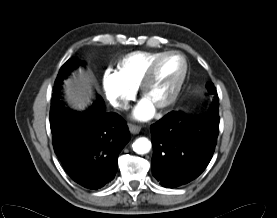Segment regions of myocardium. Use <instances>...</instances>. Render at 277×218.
<instances>
[{
  "label": "myocardium",
  "mask_w": 277,
  "mask_h": 218,
  "mask_svg": "<svg viewBox=\"0 0 277 218\" xmlns=\"http://www.w3.org/2000/svg\"><path fill=\"white\" fill-rule=\"evenodd\" d=\"M170 55H176V56L180 57V59L182 60V64H183V70H182V73H181L177 83L175 84L174 88L172 89L170 95L168 96V98L165 99L163 102L156 105V107L159 109L169 107L176 101V99L183 87V84L185 82V79H186L187 73H188V61H187L186 57L179 51H175V50L162 52L155 59H153L152 62L149 64V66L139 84L140 93L143 97H145L146 89L155 76L157 66L164 58H166Z\"/></svg>",
  "instance_id": "obj_1"
}]
</instances>
